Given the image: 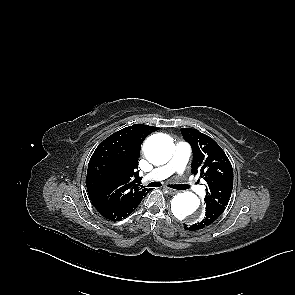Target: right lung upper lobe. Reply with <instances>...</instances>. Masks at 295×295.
<instances>
[{"mask_svg": "<svg viewBox=\"0 0 295 295\" xmlns=\"http://www.w3.org/2000/svg\"><path fill=\"white\" fill-rule=\"evenodd\" d=\"M156 130L154 126L134 124L100 143L89 161L86 178L93 203L123 205L149 192L139 185L136 169L143 140Z\"/></svg>", "mask_w": 295, "mask_h": 295, "instance_id": "cb5924a9", "label": "right lung upper lobe"}]
</instances>
